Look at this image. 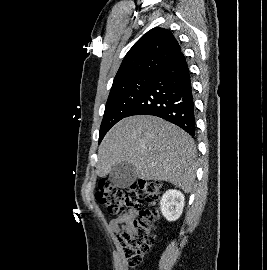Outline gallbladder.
I'll return each mask as SVG.
<instances>
[{
  "label": "gallbladder",
  "instance_id": "obj_1",
  "mask_svg": "<svg viewBox=\"0 0 267 270\" xmlns=\"http://www.w3.org/2000/svg\"><path fill=\"white\" fill-rule=\"evenodd\" d=\"M136 179V168L128 162L116 164L110 172V181L118 188H128Z\"/></svg>",
  "mask_w": 267,
  "mask_h": 270
}]
</instances>
